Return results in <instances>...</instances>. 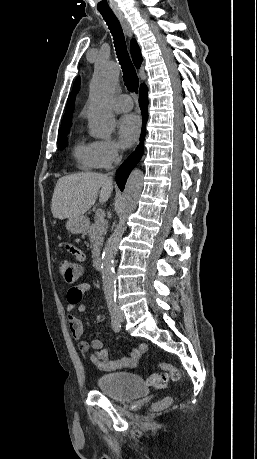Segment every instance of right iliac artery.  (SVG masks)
<instances>
[{"instance_id":"82829eb1","label":"right iliac artery","mask_w":257,"mask_h":459,"mask_svg":"<svg viewBox=\"0 0 257 459\" xmlns=\"http://www.w3.org/2000/svg\"><path fill=\"white\" fill-rule=\"evenodd\" d=\"M107 304L108 308L111 314V325L112 328L115 332H119L121 329V322L119 319V311H118V306L116 303V297L115 296H108L107 297Z\"/></svg>"}]
</instances>
